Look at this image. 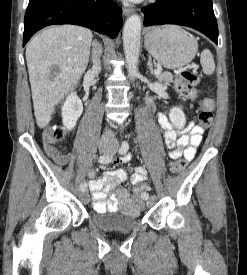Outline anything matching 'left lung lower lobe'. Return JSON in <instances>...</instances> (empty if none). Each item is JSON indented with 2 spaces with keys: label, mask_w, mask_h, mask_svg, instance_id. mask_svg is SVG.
<instances>
[{
  "label": "left lung lower lobe",
  "mask_w": 247,
  "mask_h": 275,
  "mask_svg": "<svg viewBox=\"0 0 247 275\" xmlns=\"http://www.w3.org/2000/svg\"><path fill=\"white\" fill-rule=\"evenodd\" d=\"M144 25L177 24L194 28L216 44L218 27L212 0H157L142 9Z\"/></svg>",
  "instance_id": "0a47b994"
}]
</instances>
